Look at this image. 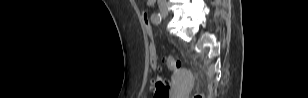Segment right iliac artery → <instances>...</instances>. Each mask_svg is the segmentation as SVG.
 Wrapping results in <instances>:
<instances>
[{
	"label": "right iliac artery",
	"mask_w": 308,
	"mask_h": 98,
	"mask_svg": "<svg viewBox=\"0 0 308 98\" xmlns=\"http://www.w3.org/2000/svg\"><path fill=\"white\" fill-rule=\"evenodd\" d=\"M151 20L154 24L158 25L162 21V17L159 13H153L151 16Z\"/></svg>",
	"instance_id": "82829eb1"
}]
</instances>
